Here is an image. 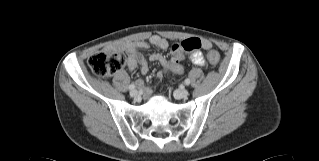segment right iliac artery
Masks as SVG:
<instances>
[{
  "label": "right iliac artery",
  "mask_w": 319,
  "mask_h": 161,
  "mask_svg": "<svg viewBox=\"0 0 319 161\" xmlns=\"http://www.w3.org/2000/svg\"><path fill=\"white\" fill-rule=\"evenodd\" d=\"M135 88H136V86H135L134 84L129 85V89H130V90H133V89H135Z\"/></svg>",
  "instance_id": "1"
}]
</instances>
